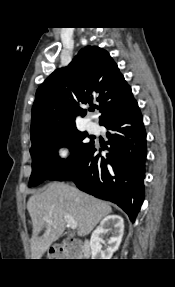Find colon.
<instances>
[{"label": "colon", "instance_id": "colon-1", "mask_svg": "<svg viewBox=\"0 0 175 287\" xmlns=\"http://www.w3.org/2000/svg\"><path fill=\"white\" fill-rule=\"evenodd\" d=\"M70 252L73 254H79L81 252V246L79 244H76V243L71 244L70 245ZM49 256L57 257L58 256V250L56 248H50Z\"/></svg>", "mask_w": 175, "mask_h": 287}]
</instances>
